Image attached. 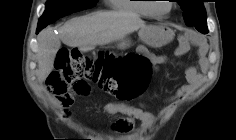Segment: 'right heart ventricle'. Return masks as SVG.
<instances>
[{
    "mask_svg": "<svg viewBox=\"0 0 236 140\" xmlns=\"http://www.w3.org/2000/svg\"><path fill=\"white\" fill-rule=\"evenodd\" d=\"M148 0H112L114 9L122 12L133 13L142 17L154 16L150 5L145 3Z\"/></svg>",
    "mask_w": 236,
    "mask_h": 140,
    "instance_id": "e07e8e85",
    "label": "right heart ventricle"
}]
</instances>
